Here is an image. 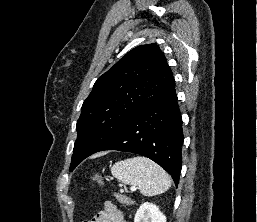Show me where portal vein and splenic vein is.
<instances>
[{
    "label": "portal vein and splenic vein",
    "mask_w": 257,
    "mask_h": 222,
    "mask_svg": "<svg viewBox=\"0 0 257 222\" xmlns=\"http://www.w3.org/2000/svg\"><path fill=\"white\" fill-rule=\"evenodd\" d=\"M132 191H135L136 190V188H134V187H132V188H130Z\"/></svg>",
    "instance_id": "1"
}]
</instances>
